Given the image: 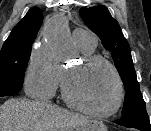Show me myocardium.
<instances>
[{"instance_id":"myocardium-1","label":"myocardium","mask_w":151,"mask_h":131,"mask_svg":"<svg viewBox=\"0 0 151 131\" xmlns=\"http://www.w3.org/2000/svg\"><path fill=\"white\" fill-rule=\"evenodd\" d=\"M95 64L105 65L111 71L117 86L116 100L112 105V107H110L108 110L105 111H96L84 105L82 102H80L77 98L74 97L69 86V82L71 78L78 71H80L83 68L93 66ZM62 94L65 101L70 106L79 110L80 112L95 118H108L116 114L120 109V107L122 106L124 100V84L118 70L109 60L98 55H92V54L84 55L82 58V62L79 65L66 71L62 83Z\"/></svg>"}]
</instances>
